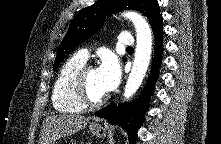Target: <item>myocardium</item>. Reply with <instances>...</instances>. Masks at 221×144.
Here are the masks:
<instances>
[{"label": "myocardium", "mask_w": 221, "mask_h": 144, "mask_svg": "<svg viewBox=\"0 0 221 144\" xmlns=\"http://www.w3.org/2000/svg\"><path fill=\"white\" fill-rule=\"evenodd\" d=\"M93 69L96 68L92 65L86 64L80 69L74 80V91L76 98L85 107L99 106L103 104L108 98L107 94H104L99 98H93L90 95L88 90L87 79L89 72Z\"/></svg>", "instance_id": "myocardium-1"}]
</instances>
